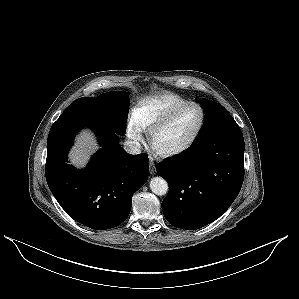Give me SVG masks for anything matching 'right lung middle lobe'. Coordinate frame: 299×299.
Here are the masks:
<instances>
[{
    "instance_id": "dd1d6c3e",
    "label": "right lung middle lobe",
    "mask_w": 299,
    "mask_h": 299,
    "mask_svg": "<svg viewBox=\"0 0 299 299\" xmlns=\"http://www.w3.org/2000/svg\"><path fill=\"white\" fill-rule=\"evenodd\" d=\"M128 94L123 91L107 92L98 97L79 98L64 110L58 120L99 124L124 135L129 109Z\"/></svg>"
}]
</instances>
